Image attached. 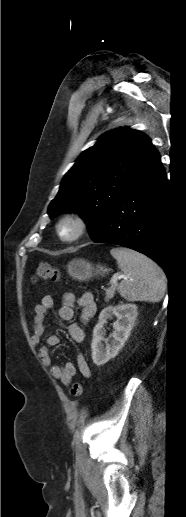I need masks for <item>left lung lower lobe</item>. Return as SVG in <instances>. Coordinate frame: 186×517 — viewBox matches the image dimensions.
I'll return each mask as SVG.
<instances>
[{
    "label": "left lung lower lobe",
    "instance_id": "0a47b994",
    "mask_svg": "<svg viewBox=\"0 0 186 517\" xmlns=\"http://www.w3.org/2000/svg\"><path fill=\"white\" fill-rule=\"evenodd\" d=\"M167 189V176L158 156L108 213L94 242L118 244L143 253L169 276Z\"/></svg>",
    "mask_w": 186,
    "mask_h": 517
}]
</instances>
